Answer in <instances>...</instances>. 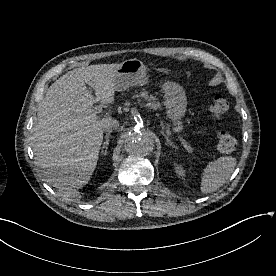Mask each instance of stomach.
I'll return each instance as SVG.
<instances>
[{
	"instance_id": "1",
	"label": "stomach",
	"mask_w": 276,
	"mask_h": 276,
	"mask_svg": "<svg viewBox=\"0 0 276 276\" xmlns=\"http://www.w3.org/2000/svg\"><path fill=\"white\" fill-rule=\"evenodd\" d=\"M149 83L146 66L138 59H128L120 63L115 70L114 85L116 91H124L131 86H143ZM164 93V105L167 118L179 121L186 112L187 98L181 85L165 80L161 84Z\"/></svg>"
}]
</instances>
